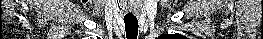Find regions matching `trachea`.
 I'll list each match as a JSON object with an SVG mask.
<instances>
[{
    "label": "trachea",
    "mask_w": 263,
    "mask_h": 39,
    "mask_svg": "<svg viewBox=\"0 0 263 39\" xmlns=\"http://www.w3.org/2000/svg\"><path fill=\"white\" fill-rule=\"evenodd\" d=\"M127 39H137L138 20L137 18H124Z\"/></svg>",
    "instance_id": "trachea-1"
}]
</instances>
